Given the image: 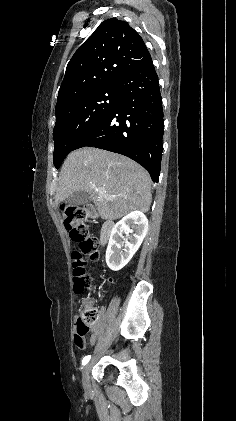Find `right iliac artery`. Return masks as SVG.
Instances as JSON below:
<instances>
[{
	"mask_svg": "<svg viewBox=\"0 0 236 421\" xmlns=\"http://www.w3.org/2000/svg\"><path fill=\"white\" fill-rule=\"evenodd\" d=\"M90 358H91V356H90V355L85 356V357L83 358V360H82V365H83V366H84V365H86V364L89 362Z\"/></svg>",
	"mask_w": 236,
	"mask_h": 421,
	"instance_id": "1",
	"label": "right iliac artery"
}]
</instances>
